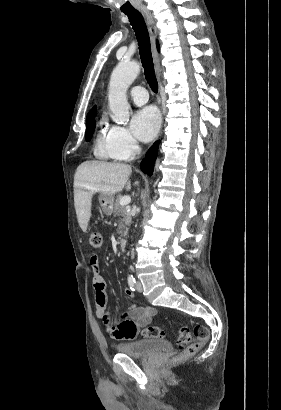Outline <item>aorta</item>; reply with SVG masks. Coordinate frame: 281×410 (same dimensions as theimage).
<instances>
[{
    "mask_svg": "<svg viewBox=\"0 0 281 410\" xmlns=\"http://www.w3.org/2000/svg\"><path fill=\"white\" fill-rule=\"evenodd\" d=\"M140 72V65L134 62H121L113 70L109 82V108L112 119L117 124L125 125L129 121L130 105L126 91Z\"/></svg>",
    "mask_w": 281,
    "mask_h": 410,
    "instance_id": "762f6f07",
    "label": "aorta"
}]
</instances>
